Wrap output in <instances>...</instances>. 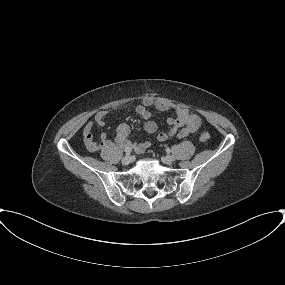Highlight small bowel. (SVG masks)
Returning <instances> with one entry per match:
<instances>
[{"label":"small bowel","mask_w":285,"mask_h":285,"mask_svg":"<svg viewBox=\"0 0 285 285\" xmlns=\"http://www.w3.org/2000/svg\"><path fill=\"white\" fill-rule=\"evenodd\" d=\"M150 107H154L161 112L168 111L172 107L167 102L152 97H144L136 106L137 114L146 121L144 124L146 132L153 134L157 133L158 125L153 120V114L149 110ZM125 108H129V105H126ZM175 114V117H170L166 120L168 130L157 133L156 138L158 141L164 142L172 137L181 139L199 131L201 119L197 114L186 108H176ZM108 115L109 112L106 110L99 111L95 115L94 122H88L83 129L84 143L90 152H96L113 144L105 132L101 133L99 140H96L93 135L94 125L104 127ZM114 144L125 149H131L136 153H141L150 147L149 141L138 142L132 139L130 127L126 123H122L116 128Z\"/></svg>","instance_id":"obj_1"}]
</instances>
